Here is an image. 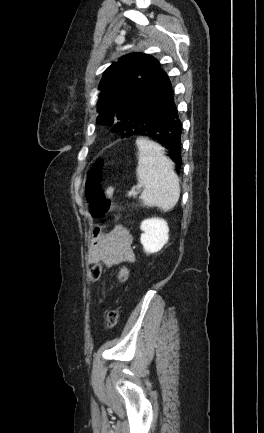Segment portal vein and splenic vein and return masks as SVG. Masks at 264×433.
I'll list each match as a JSON object with an SVG mask.
<instances>
[{
    "label": "portal vein and splenic vein",
    "mask_w": 264,
    "mask_h": 433,
    "mask_svg": "<svg viewBox=\"0 0 264 433\" xmlns=\"http://www.w3.org/2000/svg\"><path fill=\"white\" fill-rule=\"evenodd\" d=\"M136 188H137V189H141V188H142V185H137ZM129 194H130V195H135L136 192H135L134 190H132V191H130Z\"/></svg>",
    "instance_id": "portal-vein-and-splenic-vein-1"
}]
</instances>
